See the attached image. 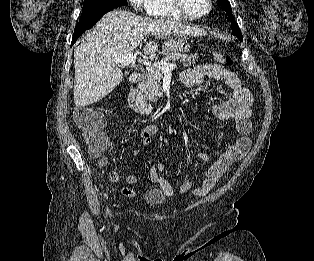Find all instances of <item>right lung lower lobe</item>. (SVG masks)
I'll return each instance as SVG.
<instances>
[{"label": "right lung lower lobe", "instance_id": "1", "mask_svg": "<svg viewBox=\"0 0 314 261\" xmlns=\"http://www.w3.org/2000/svg\"><path fill=\"white\" fill-rule=\"evenodd\" d=\"M113 10V9H111ZM110 11V10H109ZM108 11L101 13L97 16H95L94 18L84 21V22H79L74 30V35H73V39H72V43L71 46L76 42V40L88 29H90L91 27H93L96 22Z\"/></svg>", "mask_w": 314, "mask_h": 261}]
</instances>
